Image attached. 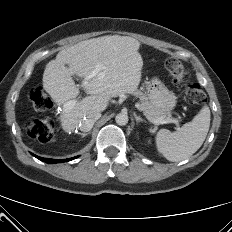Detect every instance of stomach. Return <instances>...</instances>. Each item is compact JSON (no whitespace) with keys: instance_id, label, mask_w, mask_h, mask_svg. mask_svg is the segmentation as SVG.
<instances>
[{"instance_id":"0dacf381","label":"stomach","mask_w":232,"mask_h":232,"mask_svg":"<svg viewBox=\"0 0 232 232\" xmlns=\"http://www.w3.org/2000/svg\"><path fill=\"white\" fill-rule=\"evenodd\" d=\"M147 90L148 99L161 113L171 112L175 108L177 97L162 82L150 83Z\"/></svg>"}]
</instances>
